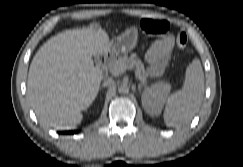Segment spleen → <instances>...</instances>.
<instances>
[{"instance_id":"1","label":"spleen","mask_w":243,"mask_h":167,"mask_svg":"<svg viewBox=\"0 0 243 167\" xmlns=\"http://www.w3.org/2000/svg\"><path fill=\"white\" fill-rule=\"evenodd\" d=\"M204 95V73L201 62L195 58L185 72L181 90L169 96L164 110V121L168 127H180L189 123L199 111Z\"/></svg>"}]
</instances>
